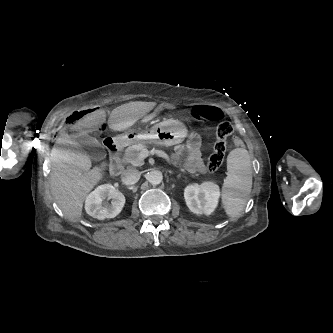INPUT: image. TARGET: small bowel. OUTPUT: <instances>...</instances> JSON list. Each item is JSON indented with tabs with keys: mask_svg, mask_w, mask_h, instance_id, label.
<instances>
[{
	"mask_svg": "<svg viewBox=\"0 0 333 333\" xmlns=\"http://www.w3.org/2000/svg\"><path fill=\"white\" fill-rule=\"evenodd\" d=\"M173 110L175 107L171 105L169 107ZM168 107L163 110L161 105H157L153 110H150L144 117L139 119L141 124L149 122L156 114L166 113L170 109ZM176 159L179 163L191 173H203L205 171V164L201 156L200 144L196 138H192L185 145L176 147Z\"/></svg>",
	"mask_w": 333,
	"mask_h": 333,
	"instance_id": "c3829d8e",
	"label": "small bowel"
}]
</instances>
